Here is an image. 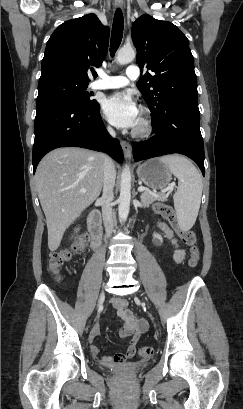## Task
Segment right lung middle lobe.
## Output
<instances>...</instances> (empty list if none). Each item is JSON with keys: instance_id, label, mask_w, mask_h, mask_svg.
Returning <instances> with one entry per match:
<instances>
[{"instance_id": "dd1d6c3e", "label": "right lung middle lobe", "mask_w": 243, "mask_h": 409, "mask_svg": "<svg viewBox=\"0 0 243 409\" xmlns=\"http://www.w3.org/2000/svg\"><path fill=\"white\" fill-rule=\"evenodd\" d=\"M88 84L64 76L39 79L36 107L50 102H67L78 106H89L96 100L86 92Z\"/></svg>"}]
</instances>
